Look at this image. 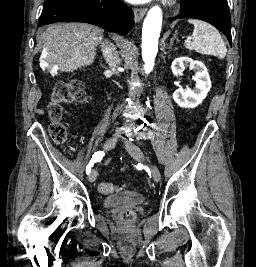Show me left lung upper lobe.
Masks as SVG:
<instances>
[{
	"instance_id": "1",
	"label": "left lung upper lobe",
	"mask_w": 256,
	"mask_h": 267,
	"mask_svg": "<svg viewBox=\"0 0 256 267\" xmlns=\"http://www.w3.org/2000/svg\"><path fill=\"white\" fill-rule=\"evenodd\" d=\"M181 2V14L176 18L204 20L223 32L231 45V18L227 0H181Z\"/></svg>"
}]
</instances>
